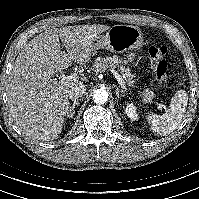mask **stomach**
Wrapping results in <instances>:
<instances>
[{"label": "stomach", "instance_id": "1", "mask_svg": "<svg viewBox=\"0 0 199 199\" xmlns=\"http://www.w3.org/2000/svg\"><path fill=\"white\" fill-rule=\"evenodd\" d=\"M144 45L141 29L133 25H114L105 35H99L94 40L96 50L105 49L112 53H124L129 50H140ZM128 59H132L130 55Z\"/></svg>", "mask_w": 199, "mask_h": 199}]
</instances>
